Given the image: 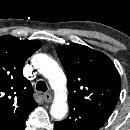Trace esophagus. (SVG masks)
<instances>
[{
	"label": "esophagus",
	"instance_id": "34e87169",
	"mask_svg": "<svg viewBox=\"0 0 130 130\" xmlns=\"http://www.w3.org/2000/svg\"><path fill=\"white\" fill-rule=\"evenodd\" d=\"M43 97H44V101L47 102V103L52 101V95L50 93H45L43 95Z\"/></svg>",
	"mask_w": 130,
	"mask_h": 130
}]
</instances>
